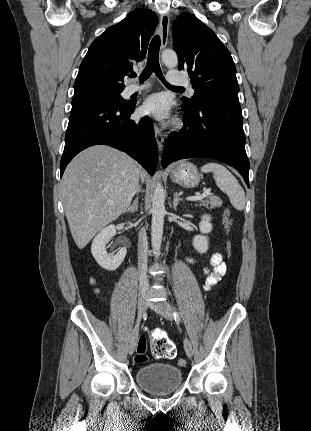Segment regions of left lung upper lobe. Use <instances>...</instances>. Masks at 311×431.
I'll list each match as a JSON object with an SVG mask.
<instances>
[{
	"instance_id": "obj_1",
	"label": "left lung upper lobe",
	"mask_w": 311,
	"mask_h": 431,
	"mask_svg": "<svg viewBox=\"0 0 311 431\" xmlns=\"http://www.w3.org/2000/svg\"><path fill=\"white\" fill-rule=\"evenodd\" d=\"M173 48L179 70H187L195 93L182 98L183 108L194 110L214 99L238 100L236 67L228 49L196 16L180 14L173 22Z\"/></svg>"
}]
</instances>
